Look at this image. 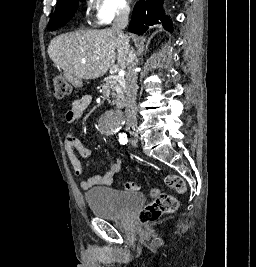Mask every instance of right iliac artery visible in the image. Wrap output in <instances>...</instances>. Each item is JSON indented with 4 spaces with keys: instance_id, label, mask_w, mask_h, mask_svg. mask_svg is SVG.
I'll list each match as a JSON object with an SVG mask.
<instances>
[{
    "instance_id": "obj_1",
    "label": "right iliac artery",
    "mask_w": 256,
    "mask_h": 267,
    "mask_svg": "<svg viewBox=\"0 0 256 267\" xmlns=\"http://www.w3.org/2000/svg\"><path fill=\"white\" fill-rule=\"evenodd\" d=\"M119 142H120V144H123V145H125L127 142H128V140H127V136H120L119 137Z\"/></svg>"
}]
</instances>
